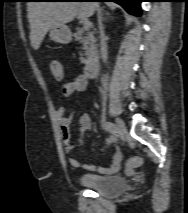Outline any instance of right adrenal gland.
I'll return each mask as SVG.
<instances>
[{"mask_svg": "<svg viewBox=\"0 0 188 213\" xmlns=\"http://www.w3.org/2000/svg\"><path fill=\"white\" fill-rule=\"evenodd\" d=\"M99 18L101 19V21H102V19H103V11L101 10V11H99Z\"/></svg>", "mask_w": 188, "mask_h": 213, "instance_id": "2a0ac1e0", "label": "right adrenal gland"}]
</instances>
